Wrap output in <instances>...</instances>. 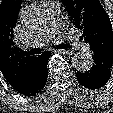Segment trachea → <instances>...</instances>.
<instances>
[{
  "label": "trachea",
  "instance_id": "1",
  "mask_svg": "<svg viewBox=\"0 0 113 113\" xmlns=\"http://www.w3.org/2000/svg\"><path fill=\"white\" fill-rule=\"evenodd\" d=\"M57 49H69L70 46L67 44H58L56 45ZM29 54L34 55V54H40L41 53V49L40 48H34L31 49L30 51H28Z\"/></svg>",
  "mask_w": 113,
  "mask_h": 113
}]
</instances>
